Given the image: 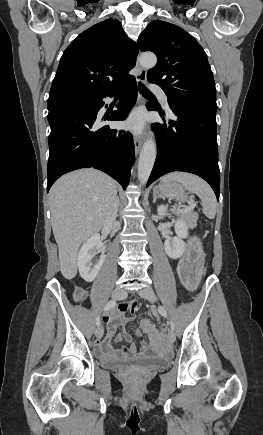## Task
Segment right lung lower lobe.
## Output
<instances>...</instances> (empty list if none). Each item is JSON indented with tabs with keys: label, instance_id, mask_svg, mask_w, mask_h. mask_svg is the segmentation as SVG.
Returning a JSON list of instances; mask_svg holds the SVG:
<instances>
[{
	"label": "right lung lower lobe",
	"instance_id": "98d812e1",
	"mask_svg": "<svg viewBox=\"0 0 263 435\" xmlns=\"http://www.w3.org/2000/svg\"><path fill=\"white\" fill-rule=\"evenodd\" d=\"M119 95L123 96L116 106L119 110L103 120H124L137 99L134 77L114 91L49 110L51 133L47 191L63 174L90 167L107 173L126 188L135 159L132 136L128 132L110 129L108 125L102 126L98 119V112L104 105L103 98Z\"/></svg>",
	"mask_w": 263,
	"mask_h": 435
}]
</instances>
